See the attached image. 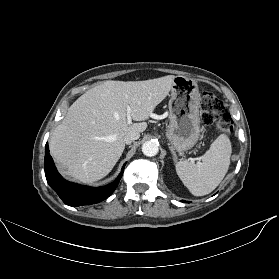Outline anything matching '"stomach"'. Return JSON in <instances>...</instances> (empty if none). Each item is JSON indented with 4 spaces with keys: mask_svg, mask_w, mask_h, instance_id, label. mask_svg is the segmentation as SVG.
<instances>
[{
    "mask_svg": "<svg viewBox=\"0 0 279 279\" xmlns=\"http://www.w3.org/2000/svg\"><path fill=\"white\" fill-rule=\"evenodd\" d=\"M199 104L197 82L185 76H176L171 87L170 122L166 129L171 150L182 153L197 143L200 137Z\"/></svg>",
    "mask_w": 279,
    "mask_h": 279,
    "instance_id": "1",
    "label": "stomach"
}]
</instances>
